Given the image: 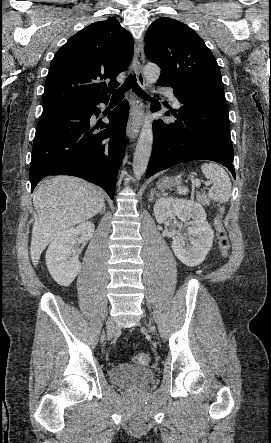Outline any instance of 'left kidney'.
Wrapping results in <instances>:
<instances>
[{"label":"left kidney","mask_w":271,"mask_h":443,"mask_svg":"<svg viewBox=\"0 0 271 443\" xmlns=\"http://www.w3.org/2000/svg\"><path fill=\"white\" fill-rule=\"evenodd\" d=\"M154 216L158 223L165 222L170 216H177L181 222L188 225L190 243H186L183 235H176L171 245L176 257L182 263L194 267L204 261L212 247L214 231L206 222V212L201 204L188 202V200L160 198L154 206Z\"/></svg>","instance_id":"5707ae66"}]
</instances>
